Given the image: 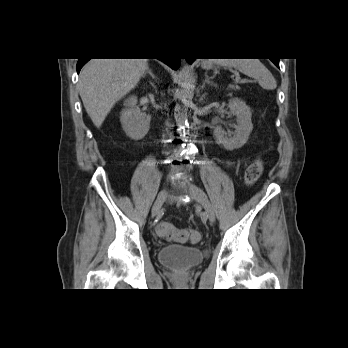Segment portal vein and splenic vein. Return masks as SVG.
<instances>
[{"instance_id":"obj_1","label":"portal vein and splenic vein","mask_w":348,"mask_h":348,"mask_svg":"<svg viewBox=\"0 0 348 348\" xmlns=\"http://www.w3.org/2000/svg\"><path fill=\"white\" fill-rule=\"evenodd\" d=\"M236 82H239V78H236Z\"/></svg>"}]
</instances>
